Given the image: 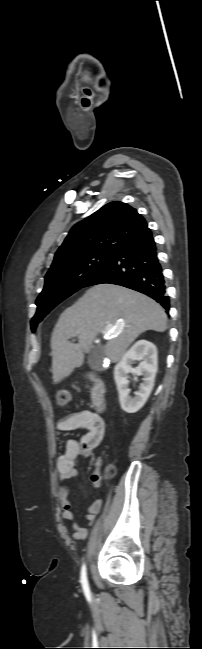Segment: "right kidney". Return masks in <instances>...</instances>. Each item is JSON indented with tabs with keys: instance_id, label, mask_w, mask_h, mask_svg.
I'll return each instance as SVG.
<instances>
[{
	"instance_id": "right-kidney-1",
	"label": "right kidney",
	"mask_w": 202,
	"mask_h": 649,
	"mask_svg": "<svg viewBox=\"0 0 202 649\" xmlns=\"http://www.w3.org/2000/svg\"><path fill=\"white\" fill-rule=\"evenodd\" d=\"M136 360L141 362L136 368H132L131 365ZM157 366V348L147 340L137 341L116 364L114 380L119 393L120 405L125 412L135 413L143 407L154 387ZM129 373L143 376V382L134 397L129 395Z\"/></svg>"
}]
</instances>
